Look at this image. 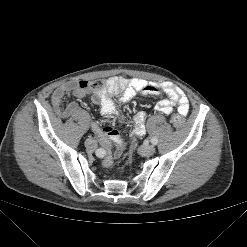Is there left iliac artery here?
Here are the masks:
<instances>
[{
    "mask_svg": "<svg viewBox=\"0 0 247 247\" xmlns=\"http://www.w3.org/2000/svg\"><path fill=\"white\" fill-rule=\"evenodd\" d=\"M151 143L156 145L158 143V139L156 137H151Z\"/></svg>",
    "mask_w": 247,
    "mask_h": 247,
    "instance_id": "44dca946",
    "label": "left iliac artery"
}]
</instances>
